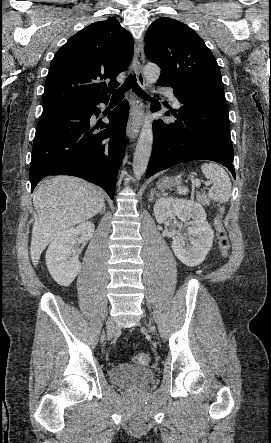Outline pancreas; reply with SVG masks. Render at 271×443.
Returning a JSON list of instances; mask_svg holds the SVG:
<instances>
[{
  "instance_id": "cf45deb5",
  "label": "pancreas",
  "mask_w": 271,
  "mask_h": 443,
  "mask_svg": "<svg viewBox=\"0 0 271 443\" xmlns=\"http://www.w3.org/2000/svg\"><path fill=\"white\" fill-rule=\"evenodd\" d=\"M197 200L200 204H203V206H209L210 204V200L205 194H197Z\"/></svg>"
}]
</instances>
